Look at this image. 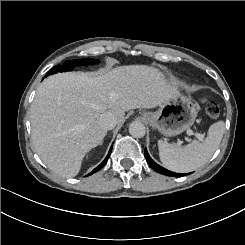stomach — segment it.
I'll list each match as a JSON object with an SVG mask.
<instances>
[{"mask_svg":"<svg viewBox=\"0 0 245 245\" xmlns=\"http://www.w3.org/2000/svg\"><path fill=\"white\" fill-rule=\"evenodd\" d=\"M143 119L164 136H176L189 129L197 117V109L190 98L178 93L162 103L155 112H144Z\"/></svg>","mask_w":245,"mask_h":245,"instance_id":"obj_1","label":"stomach"}]
</instances>
